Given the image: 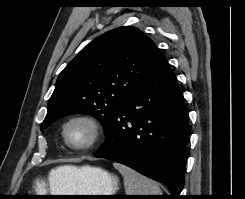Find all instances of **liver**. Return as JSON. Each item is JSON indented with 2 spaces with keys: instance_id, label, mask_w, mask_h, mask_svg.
<instances>
[{
  "instance_id": "1",
  "label": "liver",
  "mask_w": 245,
  "mask_h": 199,
  "mask_svg": "<svg viewBox=\"0 0 245 199\" xmlns=\"http://www.w3.org/2000/svg\"><path fill=\"white\" fill-rule=\"evenodd\" d=\"M76 169L77 167L75 166L65 165V166H60V167H57L56 169L51 170L49 174V183H50L52 193L55 188L54 182H53L54 176L59 175L60 178H69V176L72 175Z\"/></svg>"
}]
</instances>
